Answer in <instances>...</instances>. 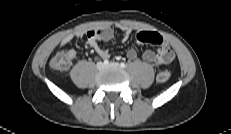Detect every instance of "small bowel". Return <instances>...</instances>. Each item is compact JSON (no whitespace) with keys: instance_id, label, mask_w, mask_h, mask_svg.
Here are the masks:
<instances>
[{"instance_id":"1","label":"small bowel","mask_w":231,"mask_h":134,"mask_svg":"<svg viewBox=\"0 0 231 134\" xmlns=\"http://www.w3.org/2000/svg\"><path fill=\"white\" fill-rule=\"evenodd\" d=\"M120 29L122 31V35L120 37L115 35L114 26H108L97 30L76 31L74 33H69L61 39L59 48L61 49L74 38L86 37L88 46L91 47L101 58L107 60L110 57V52L108 49L100 47L99 42L116 40L121 42L127 41L132 35V29L125 25L121 26ZM136 40L141 44L151 43L158 46L156 51L147 49L143 52L142 58L145 62L165 65L173 61L175 57L174 51L171 49L169 43L159 33L139 30L136 32ZM66 54L71 61L76 58V52L73 49L68 50ZM137 56L138 53L135 49H129L127 51V57L130 60H135Z\"/></svg>"}]
</instances>
